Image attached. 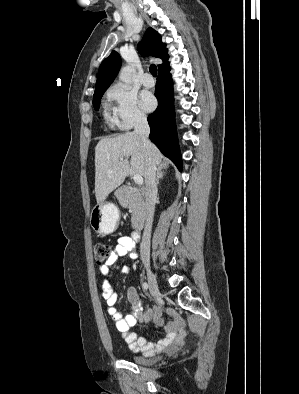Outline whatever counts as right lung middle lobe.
I'll list each match as a JSON object with an SVG mask.
<instances>
[{
    "label": "right lung middle lobe",
    "mask_w": 299,
    "mask_h": 394,
    "mask_svg": "<svg viewBox=\"0 0 299 394\" xmlns=\"http://www.w3.org/2000/svg\"><path fill=\"white\" fill-rule=\"evenodd\" d=\"M105 91H102L96 95L93 96V106L96 110L99 109L100 106V101H101V97L104 94Z\"/></svg>",
    "instance_id": "right-lung-middle-lobe-1"
}]
</instances>
